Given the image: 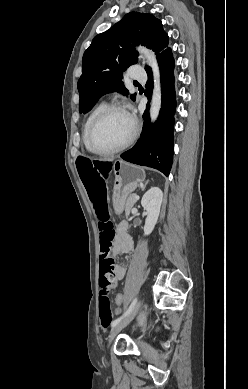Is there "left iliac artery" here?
<instances>
[{
	"instance_id": "1",
	"label": "left iliac artery",
	"mask_w": 248,
	"mask_h": 389,
	"mask_svg": "<svg viewBox=\"0 0 248 389\" xmlns=\"http://www.w3.org/2000/svg\"><path fill=\"white\" fill-rule=\"evenodd\" d=\"M136 303H137V298H135V299L132 301V303L130 304L129 308L126 310V312H125L121 317L115 319V320L112 322L111 326H112V327H115L117 324H119V323L121 322L122 319H124L125 317H127V316L130 314V312L133 310V308H134V306L136 305Z\"/></svg>"
}]
</instances>
